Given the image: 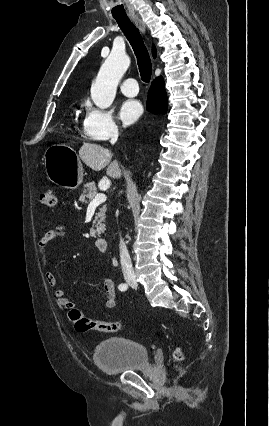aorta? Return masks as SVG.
Listing matches in <instances>:
<instances>
[{
  "instance_id": "1",
  "label": "aorta",
  "mask_w": 269,
  "mask_h": 426,
  "mask_svg": "<svg viewBox=\"0 0 269 426\" xmlns=\"http://www.w3.org/2000/svg\"><path fill=\"white\" fill-rule=\"evenodd\" d=\"M130 65L123 51L113 50L102 65L91 87V98L96 106L105 109L114 101L118 83Z\"/></svg>"
}]
</instances>
